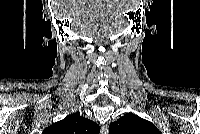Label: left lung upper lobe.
<instances>
[{"instance_id":"1","label":"left lung upper lobe","mask_w":200,"mask_h":134,"mask_svg":"<svg viewBox=\"0 0 200 134\" xmlns=\"http://www.w3.org/2000/svg\"><path fill=\"white\" fill-rule=\"evenodd\" d=\"M110 134H160L153 123L128 113L109 126Z\"/></svg>"}]
</instances>
